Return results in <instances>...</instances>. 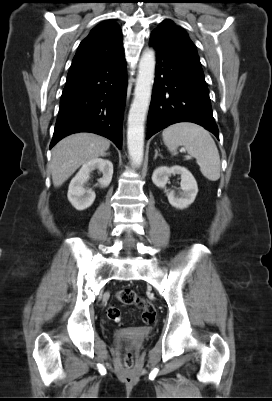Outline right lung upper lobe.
<instances>
[{
  "label": "right lung upper lobe",
  "mask_w": 272,
  "mask_h": 401,
  "mask_svg": "<svg viewBox=\"0 0 272 401\" xmlns=\"http://www.w3.org/2000/svg\"><path fill=\"white\" fill-rule=\"evenodd\" d=\"M123 50L122 32L117 23L104 21L80 43L67 78L89 71Z\"/></svg>",
  "instance_id": "obj_1"
}]
</instances>
